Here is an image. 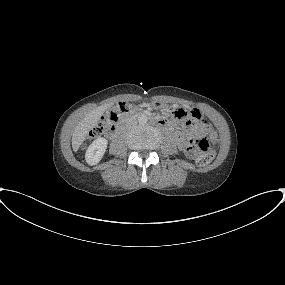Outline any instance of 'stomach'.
<instances>
[{
  "instance_id": "1",
  "label": "stomach",
  "mask_w": 285,
  "mask_h": 285,
  "mask_svg": "<svg viewBox=\"0 0 285 285\" xmlns=\"http://www.w3.org/2000/svg\"><path fill=\"white\" fill-rule=\"evenodd\" d=\"M160 107H162V105H160V104H157V108H160Z\"/></svg>"
}]
</instances>
